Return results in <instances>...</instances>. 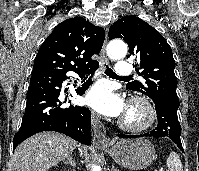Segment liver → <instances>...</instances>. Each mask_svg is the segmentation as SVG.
I'll return each mask as SVG.
<instances>
[{
    "instance_id": "6515ba94",
    "label": "liver",
    "mask_w": 199,
    "mask_h": 171,
    "mask_svg": "<svg viewBox=\"0 0 199 171\" xmlns=\"http://www.w3.org/2000/svg\"><path fill=\"white\" fill-rule=\"evenodd\" d=\"M78 146L70 137L57 132H42L22 142L11 159L12 171H47L68 158Z\"/></svg>"
}]
</instances>
